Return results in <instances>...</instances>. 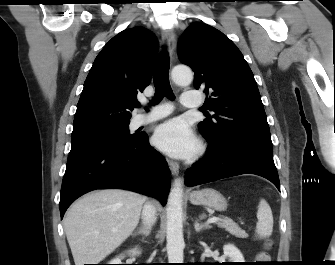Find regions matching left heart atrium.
<instances>
[{
  "label": "left heart atrium",
  "mask_w": 335,
  "mask_h": 265,
  "mask_svg": "<svg viewBox=\"0 0 335 265\" xmlns=\"http://www.w3.org/2000/svg\"><path fill=\"white\" fill-rule=\"evenodd\" d=\"M153 140L160 150L174 157H188L197 148V141L191 129L179 118L158 126Z\"/></svg>",
  "instance_id": "left-heart-atrium-1"
}]
</instances>
